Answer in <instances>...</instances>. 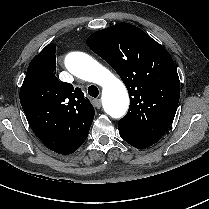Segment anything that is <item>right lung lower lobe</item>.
Here are the masks:
<instances>
[{
  "instance_id": "right-lung-lower-lobe-1",
  "label": "right lung lower lobe",
  "mask_w": 209,
  "mask_h": 209,
  "mask_svg": "<svg viewBox=\"0 0 209 209\" xmlns=\"http://www.w3.org/2000/svg\"><path fill=\"white\" fill-rule=\"evenodd\" d=\"M26 116L32 130L47 148L56 153L64 155L71 154L76 150L64 144H61L60 142H56L53 139L54 136H52V133H54L55 129L43 126L41 122L44 120V118H46V112H44L43 110H38L34 115Z\"/></svg>"
}]
</instances>
